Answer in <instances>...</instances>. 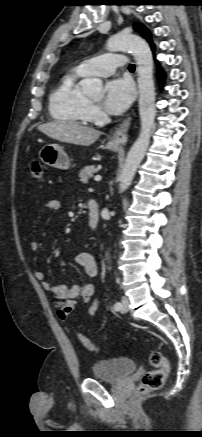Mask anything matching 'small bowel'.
<instances>
[{
    "label": "small bowel",
    "instance_id": "small-bowel-1",
    "mask_svg": "<svg viewBox=\"0 0 202 437\" xmlns=\"http://www.w3.org/2000/svg\"><path fill=\"white\" fill-rule=\"evenodd\" d=\"M60 207L61 202L58 200H50L43 205L44 210H59ZM30 247L32 251H37L39 249V243L33 240L30 243ZM74 260L88 277L93 278L97 276L98 264L91 254L86 252L78 253ZM34 276L36 280L41 283L45 291L52 293L57 308V314L61 320L65 321L68 319L79 300H82L84 304H89L90 316L95 317L97 315L99 301L98 299L92 300L96 292L94 282L88 281L83 285L75 284L71 286L65 284L52 285L45 280V274L42 271H36Z\"/></svg>",
    "mask_w": 202,
    "mask_h": 437
}]
</instances>
